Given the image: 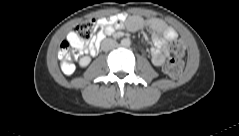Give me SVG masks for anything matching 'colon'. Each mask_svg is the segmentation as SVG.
I'll list each match as a JSON object with an SVG mask.
<instances>
[{"mask_svg":"<svg viewBox=\"0 0 239 136\" xmlns=\"http://www.w3.org/2000/svg\"><path fill=\"white\" fill-rule=\"evenodd\" d=\"M96 26V19H86L75 26L73 34L78 42H84L91 37ZM171 50L172 57L164 65V71L169 77L177 78L183 71L184 43L179 40L173 41ZM79 53L80 49L78 44L73 43L70 39H66L60 44L58 57L60 66L66 74L73 72V61L79 56Z\"/></svg>","mask_w":239,"mask_h":136,"instance_id":"5ec220e1","label":"colon"}]
</instances>
